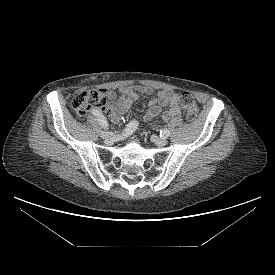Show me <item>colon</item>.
<instances>
[{"mask_svg":"<svg viewBox=\"0 0 275 275\" xmlns=\"http://www.w3.org/2000/svg\"><path fill=\"white\" fill-rule=\"evenodd\" d=\"M178 96L184 108L186 119L189 122L195 121L199 108L193 96L188 92H181ZM71 106L79 116H85L91 109L104 110L107 106V101L103 93L89 90L78 93L72 99Z\"/></svg>","mask_w":275,"mask_h":275,"instance_id":"5ec220e1","label":"colon"}]
</instances>
